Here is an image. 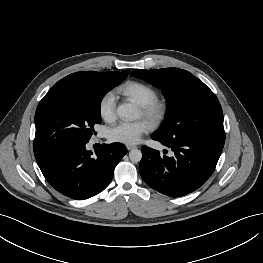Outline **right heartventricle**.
<instances>
[{
    "label": "right heart ventricle",
    "mask_w": 263,
    "mask_h": 263,
    "mask_svg": "<svg viewBox=\"0 0 263 263\" xmlns=\"http://www.w3.org/2000/svg\"><path fill=\"white\" fill-rule=\"evenodd\" d=\"M116 92L135 104L144 105L157 97L156 89L141 81H127Z\"/></svg>",
    "instance_id": "1"
}]
</instances>
